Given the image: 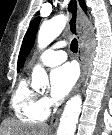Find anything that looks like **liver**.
Here are the masks:
<instances>
[{
	"instance_id": "1",
	"label": "liver",
	"mask_w": 112,
	"mask_h": 135,
	"mask_svg": "<svg viewBox=\"0 0 112 135\" xmlns=\"http://www.w3.org/2000/svg\"><path fill=\"white\" fill-rule=\"evenodd\" d=\"M2 135H48L49 127L46 124L27 125L17 120L3 122Z\"/></svg>"
}]
</instances>
